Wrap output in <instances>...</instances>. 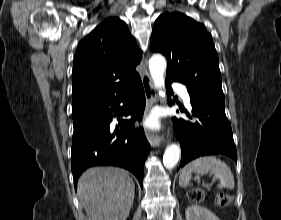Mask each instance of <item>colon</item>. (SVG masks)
I'll use <instances>...</instances> for the list:
<instances>
[{"mask_svg": "<svg viewBox=\"0 0 281 220\" xmlns=\"http://www.w3.org/2000/svg\"><path fill=\"white\" fill-rule=\"evenodd\" d=\"M189 198L193 201H201L204 199V193L201 190H192L188 194ZM232 197L225 193H220L215 197V203L218 206H227L231 203Z\"/></svg>", "mask_w": 281, "mask_h": 220, "instance_id": "1", "label": "colon"}]
</instances>
